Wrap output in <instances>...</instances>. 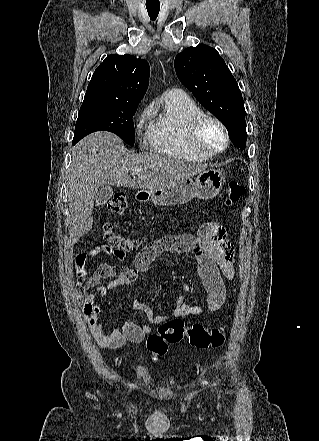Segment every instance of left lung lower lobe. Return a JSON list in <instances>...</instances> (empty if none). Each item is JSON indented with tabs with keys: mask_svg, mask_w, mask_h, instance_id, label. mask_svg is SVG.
I'll list each match as a JSON object with an SVG mask.
<instances>
[{
	"mask_svg": "<svg viewBox=\"0 0 319 441\" xmlns=\"http://www.w3.org/2000/svg\"><path fill=\"white\" fill-rule=\"evenodd\" d=\"M232 142H233L234 146L236 147V143H235V141H232Z\"/></svg>",
	"mask_w": 319,
	"mask_h": 441,
	"instance_id": "0a47b994",
	"label": "left lung lower lobe"
}]
</instances>
